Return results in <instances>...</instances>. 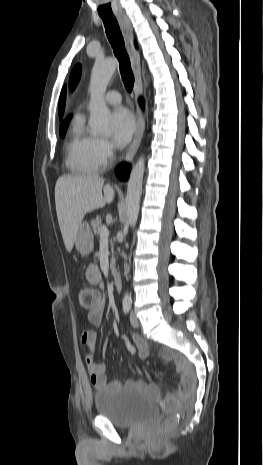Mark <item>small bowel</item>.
<instances>
[{
  "mask_svg": "<svg viewBox=\"0 0 263 465\" xmlns=\"http://www.w3.org/2000/svg\"><path fill=\"white\" fill-rule=\"evenodd\" d=\"M86 279L88 283L92 285L103 286L102 273L98 266L91 264L86 269ZM105 304L104 301H100L97 307L87 313L88 321L93 328L85 329L82 331L80 339L82 344L85 346L87 353L85 356V362L90 376V381L96 389H102L107 386L114 388H121L122 383L118 380L111 382L107 381L106 375V366L103 362H98L95 357V344L97 339V333L94 328H97L101 325L104 315ZM132 341L134 346L137 348L139 353V358L141 362H144L149 353L147 342L138 335L132 336ZM110 340H107L104 349L108 346ZM162 358L165 360H173V355L170 352L163 351ZM176 367L179 371H182V366L179 362L176 361ZM127 387H136L146 390L155 398L159 399L160 395L157 389L152 385H147L140 380H130L125 383ZM165 399H170L176 402V396L174 394H168Z\"/></svg>",
  "mask_w": 263,
  "mask_h": 465,
  "instance_id": "obj_1",
  "label": "small bowel"
}]
</instances>
